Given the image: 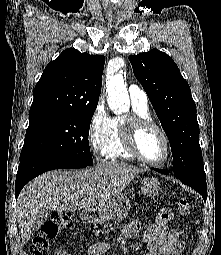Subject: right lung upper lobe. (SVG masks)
Listing matches in <instances>:
<instances>
[{"label":"right lung upper lobe","instance_id":"obj_1","mask_svg":"<svg viewBox=\"0 0 221 255\" xmlns=\"http://www.w3.org/2000/svg\"><path fill=\"white\" fill-rule=\"evenodd\" d=\"M103 55L64 50L45 68L34 89L30 113L46 110H95L101 93Z\"/></svg>","mask_w":221,"mask_h":255}]
</instances>
